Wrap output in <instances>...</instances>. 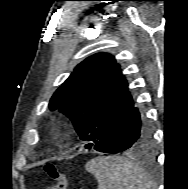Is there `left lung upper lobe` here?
<instances>
[{
  "mask_svg": "<svg viewBox=\"0 0 188 189\" xmlns=\"http://www.w3.org/2000/svg\"><path fill=\"white\" fill-rule=\"evenodd\" d=\"M134 107L120 65L98 53L81 62L52 96L50 110L69 117L81 140L93 147Z\"/></svg>",
  "mask_w": 188,
  "mask_h": 189,
  "instance_id": "5c2ea615",
  "label": "left lung upper lobe"
}]
</instances>
